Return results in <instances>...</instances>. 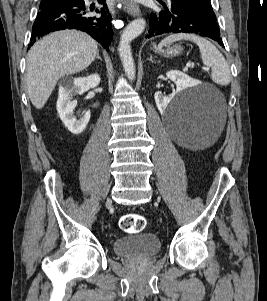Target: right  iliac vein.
Segmentation results:
<instances>
[{
  "label": "right iliac vein",
  "instance_id": "obj_1",
  "mask_svg": "<svg viewBox=\"0 0 267 301\" xmlns=\"http://www.w3.org/2000/svg\"><path fill=\"white\" fill-rule=\"evenodd\" d=\"M107 204H111V202H110V201H107Z\"/></svg>",
  "mask_w": 267,
  "mask_h": 301
}]
</instances>
